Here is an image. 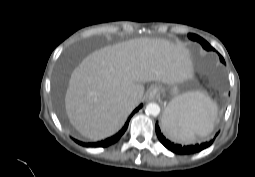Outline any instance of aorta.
Segmentation results:
<instances>
[{"label": "aorta", "instance_id": "1", "mask_svg": "<svg viewBox=\"0 0 255 177\" xmlns=\"http://www.w3.org/2000/svg\"><path fill=\"white\" fill-rule=\"evenodd\" d=\"M146 113L152 116H157L160 113V106L156 103H149L146 106Z\"/></svg>", "mask_w": 255, "mask_h": 177}]
</instances>
